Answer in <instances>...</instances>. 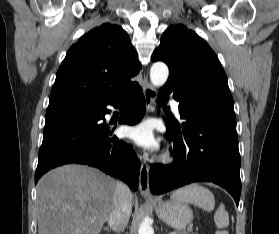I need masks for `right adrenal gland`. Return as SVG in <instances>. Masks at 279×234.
Wrapping results in <instances>:
<instances>
[{
	"instance_id": "1",
	"label": "right adrenal gland",
	"mask_w": 279,
	"mask_h": 234,
	"mask_svg": "<svg viewBox=\"0 0 279 234\" xmlns=\"http://www.w3.org/2000/svg\"><path fill=\"white\" fill-rule=\"evenodd\" d=\"M104 230L107 231V232L110 231L108 227H105Z\"/></svg>"
}]
</instances>
